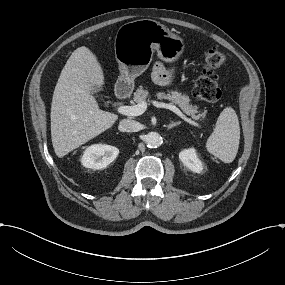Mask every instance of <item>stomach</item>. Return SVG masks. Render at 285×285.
Segmentation results:
<instances>
[{"instance_id": "1", "label": "stomach", "mask_w": 285, "mask_h": 285, "mask_svg": "<svg viewBox=\"0 0 285 285\" xmlns=\"http://www.w3.org/2000/svg\"><path fill=\"white\" fill-rule=\"evenodd\" d=\"M114 49L120 70L117 83H134L149 67L154 53L167 64L175 63L184 54L185 42L160 22L141 19L118 29Z\"/></svg>"}]
</instances>
